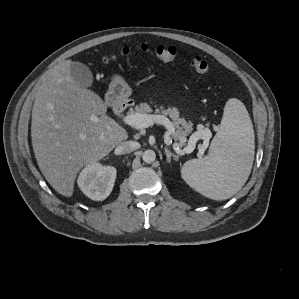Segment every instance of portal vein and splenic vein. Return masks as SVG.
Returning a JSON list of instances; mask_svg holds the SVG:
<instances>
[{
	"label": "portal vein and splenic vein",
	"mask_w": 299,
	"mask_h": 299,
	"mask_svg": "<svg viewBox=\"0 0 299 299\" xmlns=\"http://www.w3.org/2000/svg\"><path fill=\"white\" fill-rule=\"evenodd\" d=\"M123 123L135 127V128H147L152 126L153 124L163 125L167 132L164 135V141L167 145L172 143L170 135L174 133V126L172 122L163 115H147V114H127L122 118ZM195 148V141L188 144V146L184 149L185 153H191ZM204 148H200L198 154L202 155Z\"/></svg>",
	"instance_id": "portal-vein-and-splenic-vein-1"
}]
</instances>
